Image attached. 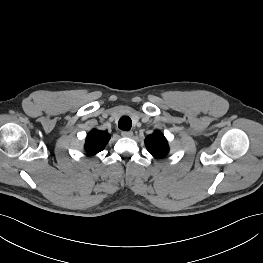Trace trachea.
Instances as JSON below:
<instances>
[{
  "mask_svg": "<svg viewBox=\"0 0 263 263\" xmlns=\"http://www.w3.org/2000/svg\"><path fill=\"white\" fill-rule=\"evenodd\" d=\"M131 126H132V121H131V119L128 116H122L119 119L118 127L121 130L128 131V130L131 129Z\"/></svg>",
  "mask_w": 263,
  "mask_h": 263,
  "instance_id": "1",
  "label": "trachea"
}]
</instances>
